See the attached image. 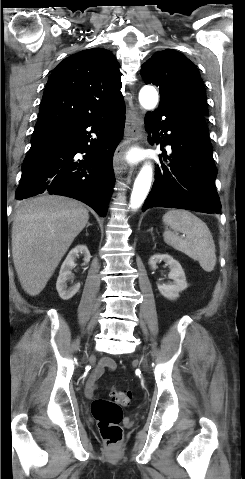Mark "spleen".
<instances>
[{
	"instance_id": "obj_1",
	"label": "spleen",
	"mask_w": 245,
	"mask_h": 479,
	"mask_svg": "<svg viewBox=\"0 0 245 479\" xmlns=\"http://www.w3.org/2000/svg\"><path fill=\"white\" fill-rule=\"evenodd\" d=\"M163 222L173 230L167 229L163 233L168 245L198 261L206 272L214 270V240L208 226L200 218L186 210H170L164 214ZM177 232L185 234L186 238H181Z\"/></svg>"
}]
</instances>
